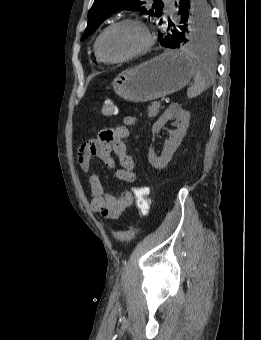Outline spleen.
Listing matches in <instances>:
<instances>
[{
  "instance_id": "1",
  "label": "spleen",
  "mask_w": 261,
  "mask_h": 340,
  "mask_svg": "<svg viewBox=\"0 0 261 340\" xmlns=\"http://www.w3.org/2000/svg\"><path fill=\"white\" fill-rule=\"evenodd\" d=\"M194 85L187 90L189 98H194L206 90L214 81L211 72L200 62H194Z\"/></svg>"
}]
</instances>
